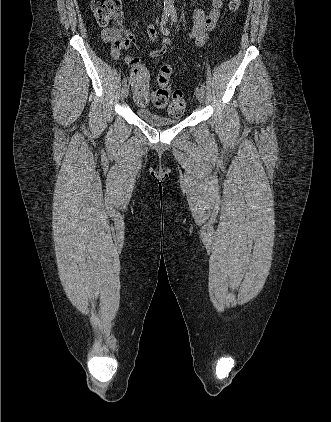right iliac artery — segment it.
<instances>
[{
    "mask_svg": "<svg viewBox=\"0 0 331 422\" xmlns=\"http://www.w3.org/2000/svg\"><path fill=\"white\" fill-rule=\"evenodd\" d=\"M170 13L168 11H164L162 14V18H161V25H165L168 21ZM127 84V79L124 78L122 81V85H126Z\"/></svg>",
    "mask_w": 331,
    "mask_h": 422,
    "instance_id": "right-iliac-artery-1",
    "label": "right iliac artery"
}]
</instances>
